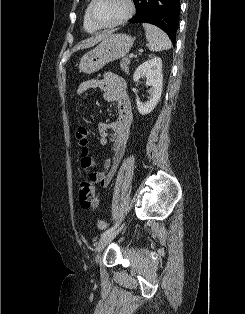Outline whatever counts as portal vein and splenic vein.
<instances>
[{"instance_id":"1","label":"portal vein and splenic vein","mask_w":245,"mask_h":314,"mask_svg":"<svg viewBox=\"0 0 245 314\" xmlns=\"http://www.w3.org/2000/svg\"><path fill=\"white\" fill-rule=\"evenodd\" d=\"M134 56H135L134 53H130V54H129V58H133Z\"/></svg>"}]
</instances>
